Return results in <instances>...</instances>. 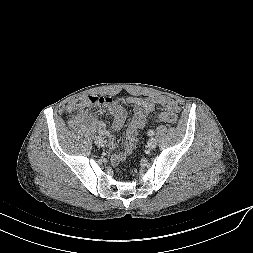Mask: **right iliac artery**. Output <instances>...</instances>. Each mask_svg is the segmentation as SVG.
<instances>
[{
	"label": "right iliac artery",
	"instance_id": "right-iliac-artery-1",
	"mask_svg": "<svg viewBox=\"0 0 253 253\" xmlns=\"http://www.w3.org/2000/svg\"><path fill=\"white\" fill-rule=\"evenodd\" d=\"M99 133L102 134V135H107L108 136L110 134V131H108L106 129H102V130L99 131Z\"/></svg>",
	"mask_w": 253,
	"mask_h": 253
}]
</instances>
